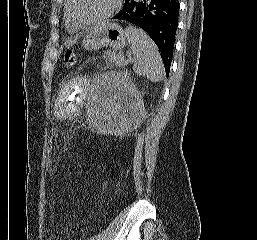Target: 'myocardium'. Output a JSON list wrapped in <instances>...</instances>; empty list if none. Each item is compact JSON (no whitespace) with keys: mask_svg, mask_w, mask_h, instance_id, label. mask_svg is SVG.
<instances>
[{"mask_svg":"<svg viewBox=\"0 0 257 240\" xmlns=\"http://www.w3.org/2000/svg\"><path fill=\"white\" fill-rule=\"evenodd\" d=\"M120 1L121 0H113L110 9L107 12H105L104 14H102L101 16H99V17H97L93 20L86 21V22L79 21L74 16L73 11H72L74 0H67V2H66V12H67L69 20L71 21V23L73 25H75L78 28H88V27L95 26L99 23H102L105 20H107L108 18H110L116 12V10L118 9V7L120 5Z\"/></svg>","mask_w":257,"mask_h":240,"instance_id":"obj_1","label":"myocardium"}]
</instances>
